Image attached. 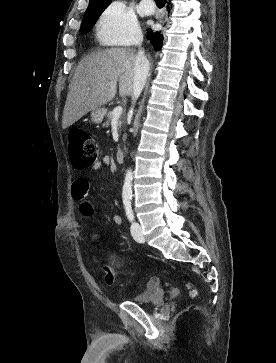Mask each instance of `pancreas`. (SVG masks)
Segmentation results:
<instances>
[{
  "instance_id": "pancreas-1",
  "label": "pancreas",
  "mask_w": 276,
  "mask_h": 363,
  "mask_svg": "<svg viewBox=\"0 0 276 363\" xmlns=\"http://www.w3.org/2000/svg\"><path fill=\"white\" fill-rule=\"evenodd\" d=\"M112 118H113L112 112H108V114H107V121L103 125L105 127H109ZM121 125H122V121H119V127H121Z\"/></svg>"
}]
</instances>
